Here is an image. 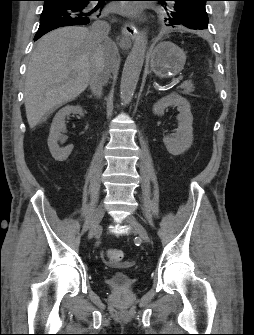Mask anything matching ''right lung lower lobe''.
<instances>
[{"label":"right lung lower lobe","instance_id":"obj_1","mask_svg":"<svg viewBox=\"0 0 254 335\" xmlns=\"http://www.w3.org/2000/svg\"><path fill=\"white\" fill-rule=\"evenodd\" d=\"M44 8L40 16V26L34 37L38 40L47 32L61 26L85 25L90 22V16L103 1H99L93 9L91 1L94 0H43Z\"/></svg>","mask_w":254,"mask_h":335}]
</instances>
